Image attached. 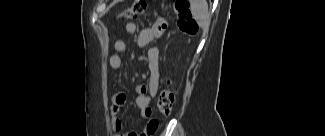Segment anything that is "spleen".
I'll list each match as a JSON object with an SVG mask.
<instances>
[{
    "label": "spleen",
    "mask_w": 325,
    "mask_h": 136,
    "mask_svg": "<svg viewBox=\"0 0 325 136\" xmlns=\"http://www.w3.org/2000/svg\"><path fill=\"white\" fill-rule=\"evenodd\" d=\"M192 13L194 18L202 27H207L209 25L210 17L208 13V5L205 0L194 3L192 6Z\"/></svg>",
    "instance_id": "obj_1"
}]
</instances>
